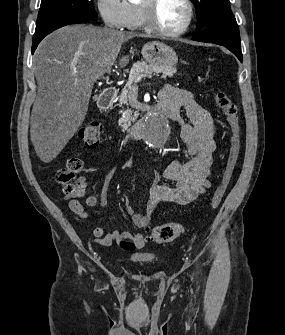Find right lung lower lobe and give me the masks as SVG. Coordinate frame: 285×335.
<instances>
[{"mask_svg": "<svg viewBox=\"0 0 285 335\" xmlns=\"http://www.w3.org/2000/svg\"><path fill=\"white\" fill-rule=\"evenodd\" d=\"M91 20L87 18H81V17H62L55 19L51 22L46 23L43 26L36 27L35 34L33 36V43H32V54L34 53L35 49L37 48L40 41L50 32L53 30H56L58 28H61L63 26L74 24V23H87Z\"/></svg>", "mask_w": 285, "mask_h": 335, "instance_id": "1", "label": "right lung lower lobe"}]
</instances>
